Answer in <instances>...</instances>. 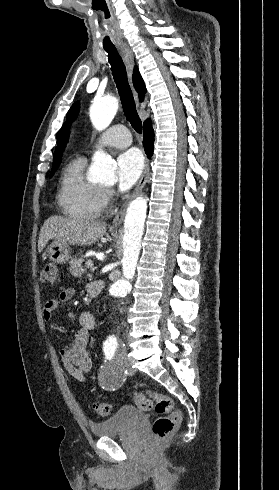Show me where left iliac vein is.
I'll list each match as a JSON object with an SVG mask.
<instances>
[{"mask_svg":"<svg viewBox=\"0 0 279 490\" xmlns=\"http://www.w3.org/2000/svg\"><path fill=\"white\" fill-rule=\"evenodd\" d=\"M122 359H123V360H126V359H127V356H126V355H123V356H122ZM126 362L128 363L129 361L127 360Z\"/></svg>","mask_w":279,"mask_h":490,"instance_id":"obj_1","label":"left iliac vein"}]
</instances>
